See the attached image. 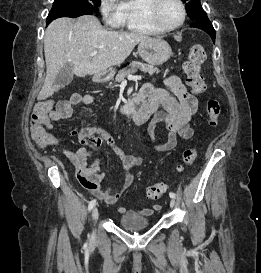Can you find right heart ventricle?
<instances>
[{"instance_id": "e07e8e85", "label": "right heart ventricle", "mask_w": 261, "mask_h": 273, "mask_svg": "<svg viewBox=\"0 0 261 273\" xmlns=\"http://www.w3.org/2000/svg\"><path fill=\"white\" fill-rule=\"evenodd\" d=\"M152 0H119L117 25L139 34L158 35L162 32L149 19V5Z\"/></svg>"}]
</instances>
